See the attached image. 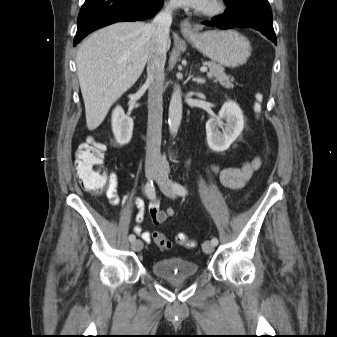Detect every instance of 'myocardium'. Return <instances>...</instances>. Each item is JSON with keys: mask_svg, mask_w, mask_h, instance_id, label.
<instances>
[{"mask_svg": "<svg viewBox=\"0 0 337 337\" xmlns=\"http://www.w3.org/2000/svg\"><path fill=\"white\" fill-rule=\"evenodd\" d=\"M227 6L224 0H210L209 4L201 10L205 16L216 17L223 14Z\"/></svg>", "mask_w": 337, "mask_h": 337, "instance_id": "obj_1", "label": "myocardium"}]
</instances>
